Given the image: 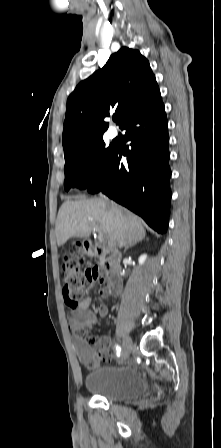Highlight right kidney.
Listing matches in <instances>:
<instances>
[{
	"mask_svg": "<svg viewBox=\"0 0 221 448\" xmlns=\"http://www.w3.org/2000/svg\"><path fill=\"white\" fill-rule=\"evenodd\" d=\"M146 258H147V255H146V254L141 255V256L139 257V259H138L139 264H140V265H143L144 262H145V260H146Z\"/></svg>",
	"mask_w": 221,
	"mask_h": 448,
	"instance_id": "obj_1",
	"label": "right kidney"
}]
</instances>
